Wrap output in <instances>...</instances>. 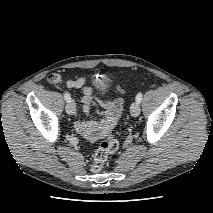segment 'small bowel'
I'll return each mask as SVG.
<instances>
[{
  "label": "small bowel",
  "instance_id": "obj_1",
  "mask_svg": "<svg viewBox=\"0 0 213 213\" xmlns=\"http://www.w3.org/2000/svg\"><path fill=\"white\" fill-rule=\"evenodd\" d=\"M49 82L51 84H64L68 88L82 89L80 98L82 110L85 114L90 113L94 101V90L91 86H87L88 79L86 77L64 81L59 74H52L49 77ZM107 105L108 109L102 120H77L74 125L76 131L88 140H96L102 137L105 131L111 128L119 119L123 101L118 100L114 104L107 103Z\"/></svg>",
  "mask_w": 213,
  "mask_h": 213
}]
</instances>
